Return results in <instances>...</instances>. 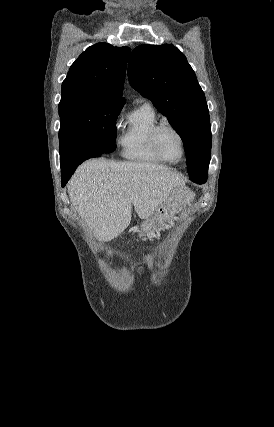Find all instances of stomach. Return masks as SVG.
<instances>
[{
  "label": "stomach",
  "mask_w": 274,
  "mask_h": 427,
  "mask_svg": "<svg viewBox=\"0 0 274 427\" xmlns=\"http://www.w3.org/2000/svg\"><path fill=\"white\" fill-rule=\"evenodd\" d=\"M184 192L188 194V188H185ZM176 212L177 208L173 206L171 200H167V202L161 204L153 217H148V219H144V221L140 223V237H143V239L151 237L152 233H154V231H159L160 225H165L164 221H170Z\"/></svg>",
  "instance_id": "1"
}]
</instances>
